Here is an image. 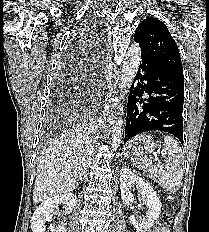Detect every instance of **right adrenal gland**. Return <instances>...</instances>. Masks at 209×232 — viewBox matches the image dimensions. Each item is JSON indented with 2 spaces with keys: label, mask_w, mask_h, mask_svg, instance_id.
<instances>
[{
  "label": "right adrenal gland",
  "mask_w": 209,
  "mask_h": 232,
  "mask_svg": "<svg viewBox=\"0 0 209 232\" xmlns=\"http://www.w3.org/2000/svg\"><path fill=\"white\" fill-rule=\"evenodd\" d=\"M83 179H87V174H85V175L83 176L82 180H83Z\"/></svg>",
  "instance_id": "right-adrenal-gland-1"
}]
</instances>
